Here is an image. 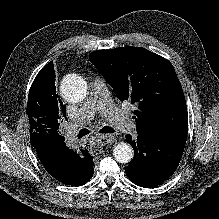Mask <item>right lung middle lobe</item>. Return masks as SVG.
<instances>
[{
	"mask_svg": "<svg viewBox=\"0 0 219 219\" xmlns=\"http://www.w3.org/2000/svg\"><path fill=\"white\" fill-rule=\"evenodd\" d=\"M59 113L58 103L42 104L37 101L36 97L29 99L28 95L26 114L28 115L30 129L35 128L46 134L59 137V125L61 123Z\"/></svg>",
	"mask_w": 219,
	"mask_h": 219,
	"instance_id": "right-lung-middle-lobe-1",
	"label": "right lung middle lobe"
}]
</instances>
